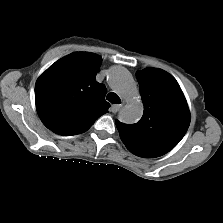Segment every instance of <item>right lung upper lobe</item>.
Listing matches in <instances>:
<instances>
[{
	"mask_svg": "<svg viewBox=\"0 0 223 223\" xmlns=\"http://www.w3.org/2000/svg\"><path fill=\"white\" fill-rule=\"evenodd\" d=\"M100 66V56L77 52L40 76L35 86L36 109L48 129L64 136L80 134L107 112L106 87L95 80Z\"/></svg>",
	"mask_w": 223,
	"mask_h": 223,
	"instance_id": "cb5924a9",
	"label": "right lung upper lobe"
}]
</instances>
